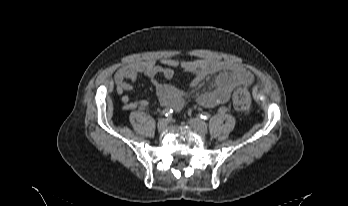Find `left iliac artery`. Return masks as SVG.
Wrapping results in <instances>:
<instances>
[{"instance_id":"1","label":"left iliac artery","mask_w":348,"mask_h":206,"mask_svg":"<svg viewBox=\"0 0 348 206\" xmlns=\"http://www.w3.org/2000/svg\"><path fill=\"white\" fill-rule=\"evenodd\" d=\"M228 111V108L227 107H222V109H219V114L220 115H225V113ZM204 114H205V112L204 113H200V114H198L197 116L199 117V118H201V119H204Z\"/></svg>"}]
</instances>
